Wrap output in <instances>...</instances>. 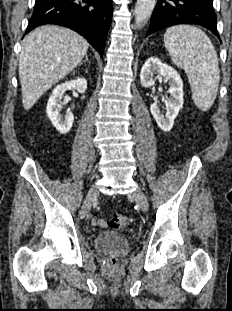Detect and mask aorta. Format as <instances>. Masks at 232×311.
Returning <instances> with one entry per match:
<instances>
[{
    "label": "aorta",
    "instance_id": "1",
    "mask_svg": "<svg viewBox=\"0 0 232 311\" xmlns=\"http://www.w3.org/2000/svg\"><path fill=\"white\" fill-rule=\"evenodd\" d=\"M157 0H137L135 6V23L141 28L151 16Z\"/></svg>",
    "mask_w": 232,
    "mask_h": 311
}]
</instances>
